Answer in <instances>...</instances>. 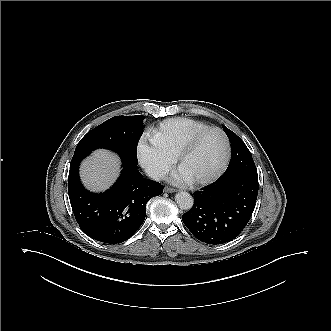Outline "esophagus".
Segmentation results:
<instances>
[{
	"label": "esophagus",
	"instance_id": "obj_1",
	"mask_svg": "<svg viewBox=\"0 0 331 331\" xmlns=\"http://www.w3.org/2000/svg\"><path fill=\"white\" fill-rule=\"evenodd\" d=\"M164 192H166V193H173V192H176V189H174L172 187H169V186H165L164 187Z\"/></svg>",
	"mask_w": 331,
	"mask_h": 331
}]
</instances>
